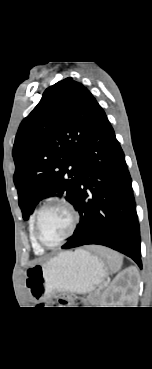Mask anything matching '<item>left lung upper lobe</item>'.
Segmentation results:
<instances>
[{"instance_id":"obj_1","label":"left lung upper lobe","mask_w":152,"mask_h":369,"mask_svg":"<svg viewBox=\"0 0 152 369\" xmlns=\"http://www.w3.org/2000/svg\"><path fill=\"white\" fill-rule=\"evenodd\" d=\"M100 105L81 83L68 77L50 86L21 122L13 146L14 183L24 220L54 192L74 205L81 155Z\"/></svg>"}]
</instances>
